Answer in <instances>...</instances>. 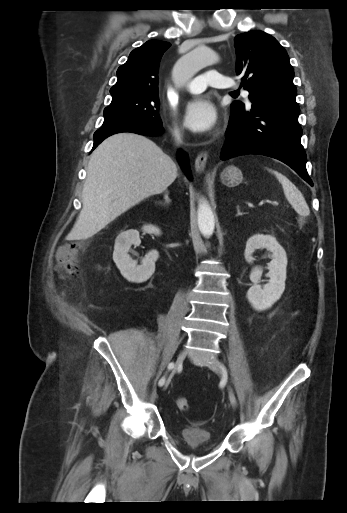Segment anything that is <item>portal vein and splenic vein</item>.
<instances>
[{
    "label": "portal vein and splenic vein",
    "instance_id": "18ae733b",
    "mask_svg": "<svg viewBox=\"0 0 347 513\" xmlns=\"http://www.w3.org/2000/svg\"><path fill=\"white\" fill-rule=\"evenodd\" d=\"M271 203H272V204H277V202H276V201H271ZM262 204H263V202H261V203H260V205H262Z\"/></svg>",
    "mask_w": 347,
    "mask_h": 513
}]
</instances>
